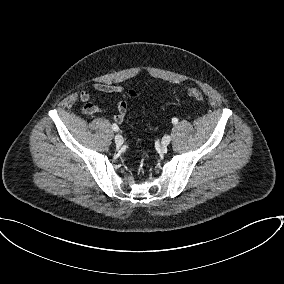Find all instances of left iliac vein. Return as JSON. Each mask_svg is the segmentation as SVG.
Masks as SVG:
<instances>
[{"label":"left iliac vein","instance_id":"4c4485c4","mask_svg":"<svg viewBox=\"0 0 284 284\" xmlns=\"http://www.w3.org/2000/svg\"><path fill=\"white\" fill-rule=\"evenodd\" d=\"M171 142V136L170 135H165L163 138H162V146L163 147H167Z\"/></svg>","mask_w":284,"mask_h":284}]
</instances>
